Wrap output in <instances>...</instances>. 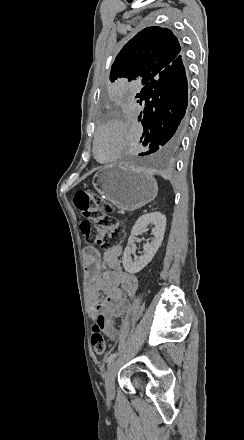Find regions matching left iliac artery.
I'll use <instances>...</instances> for the list:
<instances>
[{
  "label": "left iliac artery",
  "instance_id": "left-iliac-artery-1",
  "mask_svg": "<svg viewBox=\"0 0 244 440\" xmlns=\"http://www.w3.org/2000/svg\"><path fill=\"white\" fill-rule=\"evenodd\" d=\"M116 356H117V353H112L111 355H109V356L107 357L106 362H107L108 364H110V363L116 358Z\"/></svg>",
  "mask_w": 244,
  "mask_h": 440
}]
</instances>
